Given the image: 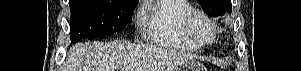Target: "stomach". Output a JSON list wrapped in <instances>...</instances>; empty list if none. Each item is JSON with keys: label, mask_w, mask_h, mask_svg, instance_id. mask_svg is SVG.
<instances>
[{"label": "stomach", "mask_w": 301, "mask_h": 71, "mask_svg": "<svg viewBox=\"0 0 301 71\" xmlns=\"http://www.w3.org/2000/svg\"><path fill=\"white\" fill-rule=\"evenodd\" d=\"M173 71H206L204 66L194 59H188L177 66Z\"/></svg>", "instance_id": "stomach-1"}]
</instances>
